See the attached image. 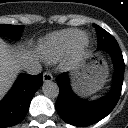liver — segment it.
I'll use <instances>...</instances> for the list:
<instances>
[{
  "label": "liver",
  "instance_id": "6515ba94",
  "mask_svg": "<svg viewBox=\"0 0 128 128\" xmlns=\"http://www.w3.org/2000/svg\"><path fill=\"white\" fill-rule=\"evenodd\" d=\"M30 60V57L23 54L21 56V63L24 64ZM86 71L90 72V77ZM106 68L99 67L98 65L87 66L83 72V78L85 81H91V79H97L100 85L106 76ZM16 73L14 55L8 48L5 42L0 39V96L6 91L11 82L13 81ZM84 84V83H83Z\"/></svg>",
  "mask_w": 128,
  "mask_h": 128
}]
</instances>
